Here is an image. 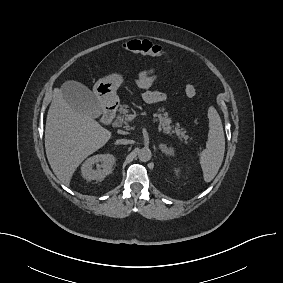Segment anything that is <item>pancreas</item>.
Wrapping results in <instances>:
<instances>
[{"instance_id":"pancreas-1","label":"pancreas","mask_w":283,"mask_h":283,"mask_svg":"<svg viewBox=\"0 0 283 283\" xmlns=\"http://www.w3.org/2000/svg\"><path fill=\"white\" fill-rule=\"evenodd\" d=\"M129 106L126 104H123L119 108V114L117 115L115 123L117 126H124V128H128V110ZM158 111H162V109H158ZM154 120L159 122V128L163 130L164 133L167 134H176L179 138H183L187 140L189 137L185 135V131L183 128H180L179 124H177L175 127L171 125L172 120L169 118L168 113L164 112L161 113H155L153 115Z\"/></svg>"}]
</instances>
